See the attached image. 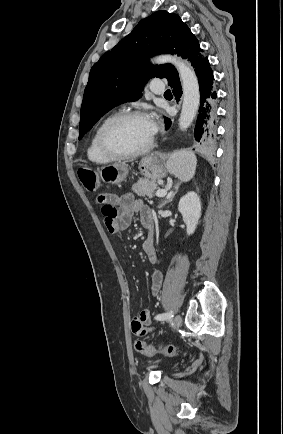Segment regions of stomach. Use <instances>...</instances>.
Wrapping results in <instances>:
<instances>
[{"instance_id":"1","label":"stomach","mask_w":283,"mask_h":434,"mask_svg":"<svg viewBox=\"0 0 283 434\" xmlns=\"http://www.w3.org/2000/svg\"><path fill=\"white\" fill-rule=\"evenodd\" d=\"M141 173L152 181L162 179L167 175V166L161 160L159 155L151 154L141 159L139 163ZM100 178L108 184H119L123 182L128 175V165L125 163H115L106 165L101 168Z\"/></svg>"}]
</instances>
